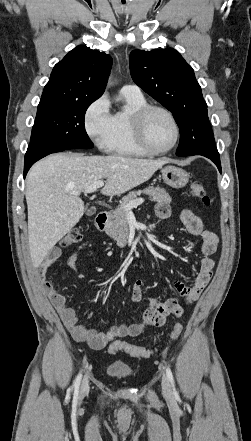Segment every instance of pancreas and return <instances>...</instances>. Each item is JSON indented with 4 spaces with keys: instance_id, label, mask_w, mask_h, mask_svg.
<instances>
[{
    "instance_id": "pancreas-1",
    "label": "pancreas",
    "mask_w": 251,
    "mask_h": 441,
    "mask_svg": "<svg viewBox=\"0 0 251 441\" xmlns=\"http://www.w3.org/2000/svg\"><path fill=\"white\" fill-rule=\"evenodd\" d=\"M140 194L150 196V200L159 203H171V197L165 189L160 187L149 186L143 190L132 191L127 196L122 198L121 206L113 211L112 219L106 226V233L117 241L118 244H124L129 236L127 213L123 206L133 200L137 199Z\"/></svg>"
}]
</instances>
